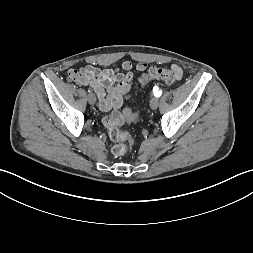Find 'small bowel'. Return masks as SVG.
<instances>
[{
  "instance_id": "obj_1",
  "label": "small bowel",
  "mask_w": 253,
  "mask_h": 253,
  "mask_svg": "<svg viewBox=\"0 0 253 253\" xmlns=\"http://www.w3.org/2000/svg\"><path fill=\"white\" fill-rule=\"evenodd\" d=\"M172 67H177L173 65ZM134 66L130 61H124L118 68L99 69L93 64H88L79 71L70 69V80L91 86L99 98V108L103 112H109L122 106L124 100L130 97L134 86ZM136 71L144 72L147 64L139 62L135 66ZM180 69V68H179Z\"/></svg>"
}]
</instances>
